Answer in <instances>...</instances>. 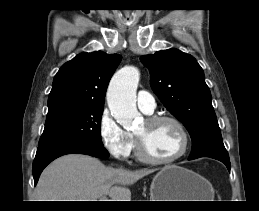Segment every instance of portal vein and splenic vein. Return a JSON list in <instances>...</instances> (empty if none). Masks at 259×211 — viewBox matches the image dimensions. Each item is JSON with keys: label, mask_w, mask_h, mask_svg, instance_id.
I'll return each mask as SVG.
<instances>
[{"label": "portal vein and splenic vein", "mask_w": 259, "mask_h": 211, "mask_svg": "<svg viewBox=\"0 0 259 211\" xmlns=\"http://www.w3.org/2000/svg\"><path fill=\"white\" fill-rule=\"evenodd\" d=\"M98 201H111L106 196H102Z\"/></svg>", "instance_id": "18ae733b"}]
</instances>
